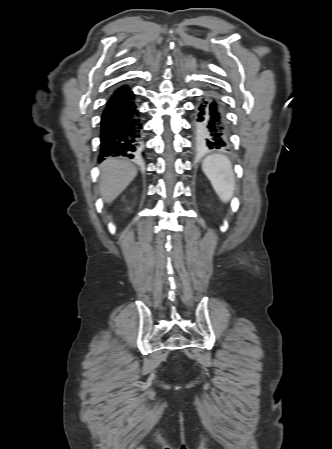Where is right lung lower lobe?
Masks as SVG:
<instances>
[{"label": "right lung lower lobe", "mask_w": 332, "mask_h": 449, "mask_svg": "<svg viewBox=\"0 0 332 449\" xmlns=\"http://www.w3.org/2000/svg\"><path fill=\"white\" fill-rule=\"evenodd\" d=\"M99 161L108 156L134 158L142 151V123L130 90L115 91L101 118Z\"/></svg>", "instance_id": "1"}]
</instances>
